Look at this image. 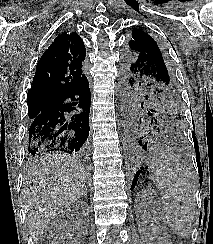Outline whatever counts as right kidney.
Here are the masks:
<instances>
[{
  "mask_svg": "<svg viewBox=\"0 0 213 244\" xmlns=\"http://www.w3.org/2000/svg\"><path fill=\"white\" fill-rule=\"evenodd\" d=\"M82 209V213L79 210ZM88 205L85 202H76L72 207L67 209L62 216H76L78 219V225H81L82 228H86L88 222Z\"/></svg>",
  "mask_w": 213,
  "mask_h": 244,
  "instance_id": "ca27d5eb",
  "label": "right kidney"
}]
</instances>
